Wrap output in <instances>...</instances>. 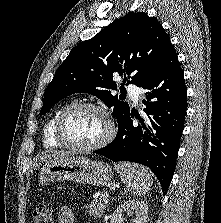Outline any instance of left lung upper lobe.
Segmentation results:
<instances>
[{"label": "left lung upper lobe", "mask_w": 221, "mask_h": 223, "mask_svg": "<svg viewBox=\"0 0 221 223\" xmlns=\"http://www.w3.org/2000/svg\"><path fill=\"white\" fill-rule=\"evenodd\" d=\"M170 44L162 25L147 13L130 12L113 21L70 51L47 86L40 115L68 95L87 92L113 107L119 124L130 108L111 94L117 88L113 74H127L132 79L127 84L140 87L160 66Z\"/></svg>", "instance_id": "left-lung-upper-lobe-1"}]
</instances>
